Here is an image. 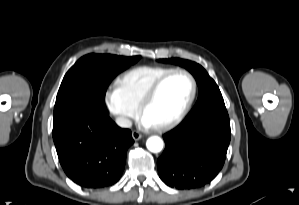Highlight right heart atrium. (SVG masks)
Instances as JSON below:
<instances>
[{
    "mask_svg": "<svg viewBox=\"0 0 299 205\" xmlns=\"http://www.w3.org/2000/svg\"><path fill=\"white\" fill-rule=\"evenodd\" d=\"M104 104L120 126H128L137 115V109L126 102L117 86H113L105 92Z\"/></svg>",
    "mask_w": 299,
    "mask_h": 205,
    "instance_id": "right-heart-atrium-1",
    "label": "right heart atrium"
}]
</instances>
